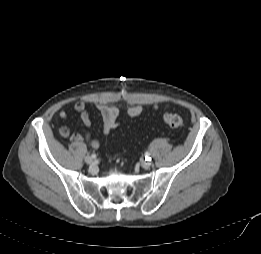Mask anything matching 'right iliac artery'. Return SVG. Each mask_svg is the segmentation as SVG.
<instances>
[{
	"label": "right iliac artery",
	"instance_id": "1",
	"mask_svg": "<svg viewBox=\"0 0 261 254\" xmlns=\"http://www.w3.org/2000/svg\"><path fill=\"white\" fill-rule=\"evenodd\" d=\"M91 156H92V158H95V157H96V155H95V154H92Z\"/></svg>",
	"mask_w": 261,
	"mask_h": 254
}]
</instances>
